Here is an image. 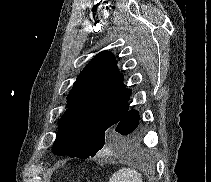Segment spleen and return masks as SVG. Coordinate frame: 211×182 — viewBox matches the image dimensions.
Listing matches in <instances>:
<instances>
[{
  "label": "spleen",
  "mask_w": 211,
  "mask_h": 182,
  "mask_svg": "<svg viewBox=\"0 0 211 182\" xmlns=\"http://www.w3.org/2000/svg\"><path fill=\"white\" fill-rule=\"evenodd\" d=\"M141 177L134 169L122 168L112 175L109 182H143Z\"/></svg>",
  "instance_id": "spleen-1"
}]
</instances>
